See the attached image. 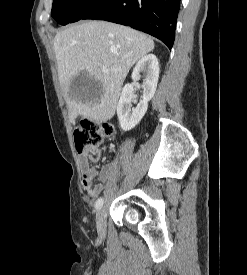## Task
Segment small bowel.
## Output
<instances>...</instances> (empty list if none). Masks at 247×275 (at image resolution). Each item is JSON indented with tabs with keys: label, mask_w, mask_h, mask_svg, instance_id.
<instances>
[{
	"label": "small bowel",
	"mask_w": 247,
	"mask_h": 275,
	"mask_svg": "<svg viewBox=\"0 0 247 275\" xmlns=\"http://www.w3.org/2000/svg\"><path fill=\"white\" fill-rule=\"evenodd\" d=\"M116 165H117L116 162H110L104 165L100 170V172L98 173L96 168L90 165L87 154H84V153L81 154L80 166H81V172H82V185L90 197L92 198L98 197L103 192V189H104V186L102 183L93 184V180L95 176L98 174L100 180L103 183L109 182L114 174Z\"/></svg>",
	"instance_id": "1"
}]
</instances>
